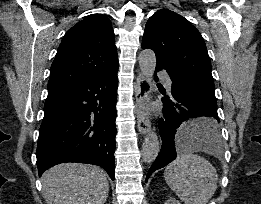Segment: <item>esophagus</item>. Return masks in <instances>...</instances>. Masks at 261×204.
<instances>
[{
    "label": "esophagus",
    "mask_w": 261,
    "mask_h": 204,
    "mask_svg": "<svg viewBox=\"0 0 261 204\" xmlns=\"http://www.w3.org/2000/svg\"><path fill=\"white\" fill-rule=\"evenodd\" d=\"M150 86L146 77L139 74L137 77L136 91V116L137 126L141 134H146L150 127L148 112L146 111V103L149 100Z\"/></svg>",
    "instance_id": "obj_1"
}]
</instances>
